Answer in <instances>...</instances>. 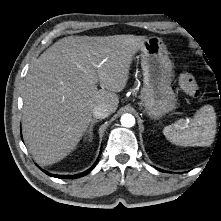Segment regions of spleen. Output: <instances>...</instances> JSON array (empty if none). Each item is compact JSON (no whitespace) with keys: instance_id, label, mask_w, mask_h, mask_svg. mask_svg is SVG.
<instances>
[{"instance_id":"spleen-1","label":"spleen","mask_w":221,"mask_h":221,"mask_svg":"<svg viewBox=\"0 0 221 221\" xmlns=\"http://www.w3.org/2000/svg\"><path fill=\"white\" fill-rule=\"evenodd\" d=\"M216 115L212 106L200 108L191 121L179 119L164 127L163 134L180 146H208L215 135Z\"/></svg>"}]
</instances>
